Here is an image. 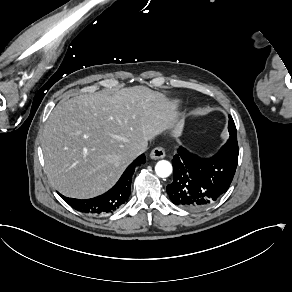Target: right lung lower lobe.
Returning <instances> with one entry per match:
<instances>
[{"label": "right lung lower lobe", "mask_w": 292, "mask_h": 292, "mask_svg": "<svg viewBox=\"0 0 292 292\" xmlns=\"http://www.w3.org/2000/svg\"><path fill=\"white\" fill-rule=\"evenodd\" d=\"M146 161L145 155H140L125 170L118 182L106 193L91 199L68 198L59 194L72 208L88 214L111 213L124 204L130 195L131 177L135 168Z\"/></svg>", "instance_id": "98d812e1"}]
</instances>
